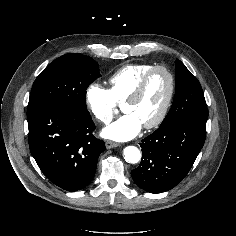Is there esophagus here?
<instances>
[{
    "label": "esophagus",
    "instance_id": "obj_1",
    "mask_svg": "<svg viewBox=\"0 0 236 236\" xmlns=\"http://www.w3.org/2000/svg\"><path fill=\"white\" fill-rule=\"evenodd\" d=\"M105 145L107 149H111V148L119 146L118 143L112 142V141H106Z\"/></svg>",
    "mask_w": 236,
    "mask_h": 236
}]
</instances>
